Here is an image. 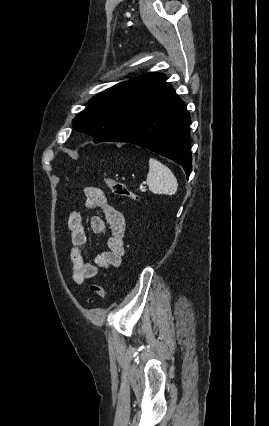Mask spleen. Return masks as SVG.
<instances>
[{
    "label": "spleen",
    "instance_id": "spleen-1",
    "mask_svg": "<svg viewBox=\"0 0 269 426\" xmlns=\"http://www.w3.org/2000/svg\"><path fill=\"white\" fill-rule=\"evenodd\" d=\"M146 181L154 194L174 195L177 192L178 183L172 171L154 158L149 159Z\"/></svg>",
    "mask_w": 269,
    "mask_h": 426
}]
</instances>
